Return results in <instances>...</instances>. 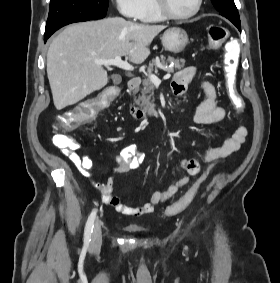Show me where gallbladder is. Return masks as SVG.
Here are the masks:
<instances>
[{
	"label": "gallbladder",
	"instance_id": "1",
	"mask_svg": "<svg viewBox=\"0 0 280 283\" xmlns=\"http://www.w3.org/2000/svg\"><path fill=\"white\" fill-rule=\"evenodd\" d=\"M113 82H114L115 84H119V83L121 82V78L118 77V76H114Z\"/></svg>",
	"mask_w": 280,
	"mask_h": 283
}]
</instances>
